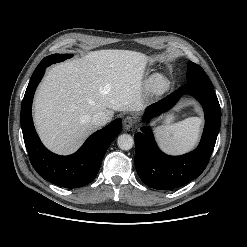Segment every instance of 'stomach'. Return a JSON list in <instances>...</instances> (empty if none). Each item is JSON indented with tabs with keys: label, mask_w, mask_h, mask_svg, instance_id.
<instances>
[{
	"label": "stomach",
	"mask_w": 247,
	"mask_h": 247,
	"mask_svg": "<svg viewBox=\"0 0 247 247\" xmlns=\"http://www.w3.org/2000/svg\"><path fill=\"white\" fill-rule=\"evenodd\" d=\"M172 120H173V116L170 115V116H168V117L164 120V123H165V124H170V123L172 122Z\"/></svg>",
	"instance_id": "obj_1"
}]
</instances>
